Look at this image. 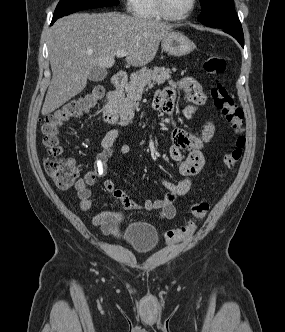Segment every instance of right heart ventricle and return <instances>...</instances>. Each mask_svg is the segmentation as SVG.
I'll return each instance as SVG.
<instances>
[{
	"instance_id": "obj_1",
	"label": "right heart ventricle",
	"mask_w": 285,
	"mask_h": 332,
	"mask_svg": "<svg viewBox=\"0 0 285 332\" xmlns=\"http://www.w3.org/2000/svg\"><path fill=\"white\" fill-rule=\"evenodd\" d=\"M135 17L143 20H161L155 0H135L132 8Z\"/></svg>"
}]
</instances>
